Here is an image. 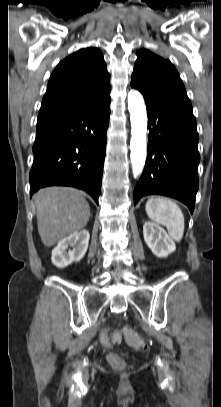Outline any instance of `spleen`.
<instances>
[{"label": "spleen", "mask_w": 221, "mask_h": 407, "mask_svg": "<svg viewBox=\"0 0 221 407\" xmlns=\"http://www.w3.org/2000/svg\"><path fill=\"white\" fill-rule=\"evenodd\" d=\"M145 209L152 221L166 226L171 238L181 241L184 234V216L175 202L165 197H151Z\"/></svg>", "instance_id": "obj_1"}]
</instances>
